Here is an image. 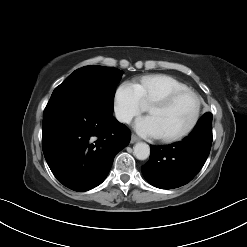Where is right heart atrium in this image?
<instances>
[{"instance_id":"right-heart-atrium-1","label":"right heart atrium","mask_w":247,"mask_h":247,"mask_svg":"<svg viewBox=\"0 0 247 247\" xmlns=\"http://www.w3.org/2000/svg\"><path fill=\"white\" fill-rule=\"evenodd\" d=\"M113 105L115 116L122 123L130 122L145 109L137 87L130 82H124L117 88Z\"/></svg>"}]
</instances>
